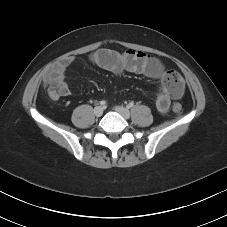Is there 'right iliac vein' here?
I'll use <instances>...</instances> for the list:
<instances>
[{"label": "right iliac vein", "instance_id": "63e3f726", "mask_svg": "<svg viewBox=\"0 0 227 227\" xmlns=\"http://www.w3.org/2000/svg\"><path fill=\"white\" fill-rule=\"evenodd\" d=\"M94 114L95 116L100 117L103 114V108L101 106L95 107Z\"/></svg>", "mask_w": 227, "mask_h": 227}]
</instances>
